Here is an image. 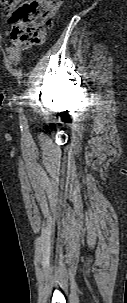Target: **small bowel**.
<instances>
[{
    "instance_id": "obj_1",
    "label": "small bowel",
    "mask_w": 127,
    "mask_h": 303,
    "mask_svg": "<svg viewBox=\"0 0 127 303\" xmlns=\"http://www.w3.org/2000/svg\"><path fill=\"white\" fill-rule=\"evenodd\" d=\"M20 0H16V2H19ZM9 16V13L7 12L5 14V17H8ZM5 35H8V32L6 31L5 32ZM7 53L9 55V58L15 62V63H18L20 62L21 60V51L15 47H8L7 48Z\"/></svg>"
}]
</instances>
